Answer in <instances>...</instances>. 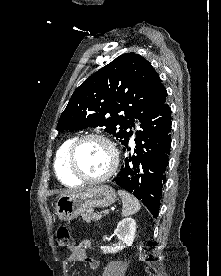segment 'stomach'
I'll use <instances>...</instances> for the list:
<instances>
[{
	"label": "stomach",
	"instance_id": "0dacf381",
	"mask_svg": "<svg viewBox=\"0 0 221 276\" xmlns=\"http://www.w3.org/2000/svg\"><path fill=\"white\" fill-rule=\"evenodd\" d=\"M117 199L115 190L108 185L94 186L59 197L56 214L59 219L68 221L85 213L92 207H108Z\"/></svg>",
	"mask_w": 221,
	"mask_h": 276
}]
</instances>
